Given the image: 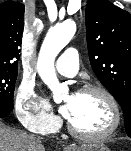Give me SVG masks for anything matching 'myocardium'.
I'll list each match as a JSON object with an SVG mask.
<instances>
[{
	"mask_svg": "<svg viewBox=\"0 0 131 151\" xmlns=\"http://www.w3.org/2000/svg\"><path fill=\"white\" fill-rule=\"evenodd\" d=\"M79 94L98 93L101 94L109 103L113 112V121L111 126L101 133H86L76 129L73 124L67 120V129L69 133L79 139L87 141H102L111 137L119 128L121 123V108L116 97L105 87L100 85H86L78 90Z\"/></svg>",
	"mask_w": 131,
	"mask_h": 151,
	"instance_id": "1",
	"label": "myocardium"
}]
</instances>
